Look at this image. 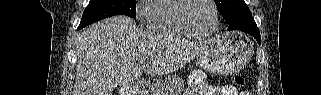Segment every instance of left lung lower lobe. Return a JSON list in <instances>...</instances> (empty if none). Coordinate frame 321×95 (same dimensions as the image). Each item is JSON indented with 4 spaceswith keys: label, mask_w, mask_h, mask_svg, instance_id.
Segmentation results:
<instances>
[{
    "label": "left lung lower lobe",
    "mask_w": 321,
    "mask_h": 95,
    "mask_svg": "<svg viewBox=\"0 0 321 95\" xmlns=\"http://www.w3.org/2000/svg\"><path fill=\"white\" fill-rule=\"evenodd\" d=\"M229 30L244 31L256 38L260 44V32L251 15L241 17L230 23Z\"/></svg>",
    "instance_id": "obj_1"
}]
</instances>
